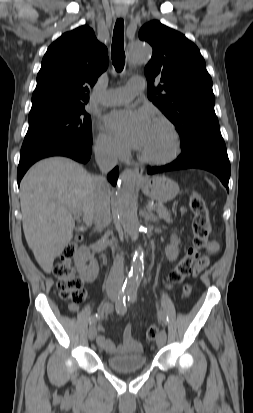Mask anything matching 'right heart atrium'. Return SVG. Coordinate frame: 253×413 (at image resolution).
<instances>
[{
  "label": "right heart atrium",
  "mask_w": 253,
  "mask_h": 413,
  "mask_svg": "<svg viewBox=\"0 0 253 413\" xmlns=\"http://www.w3.org/2000/svg\"><path fill=\"white\" fill-rule=\"evenodd\" d=\"M94 149L97 156L104 160L119 159L126 154L125 147L105 131H99L97 134Z\"/></svg>",
  "instance_id": "right-heart-atrium-1"
}]
</instances>
